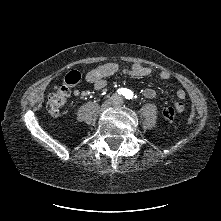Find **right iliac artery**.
<instances>
[{
	"instance_id": "82829eb1",
	"label": "right iliac artery",
	"mask_w": 221,
	"mask_h": 221,
	"mask_svg": "<svg viewBox=\"0 0 221 221\" xmlns=\"http://www.w3.org/2000/svg\"><path fill=\"white\" fill-rule=\"evenodd\" d=\"M124 91H125L124 89H119V90H118V93H119V94H124Z\"/></svg>"
}]
</instances>
